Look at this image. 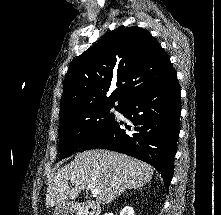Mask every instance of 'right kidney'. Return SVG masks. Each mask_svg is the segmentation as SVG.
I'll return each mask as SVG.
<instances>
[{
	"label": "right kidney",
	"mask_w": 221,
	"mask_h": 215,
	"mask_svg": "<svg viewBox=\"0 0 221 215\" xmlns=\"http://www.w3.org/2000/svg\"><path fill=\"white\" fill-rule=\"evenodd\" d=\"M120 215H135V214L132 207L126 206L121 210Z\"/></svg>",
	"instance_id": "right-kidney-1"
}]
</instances>
